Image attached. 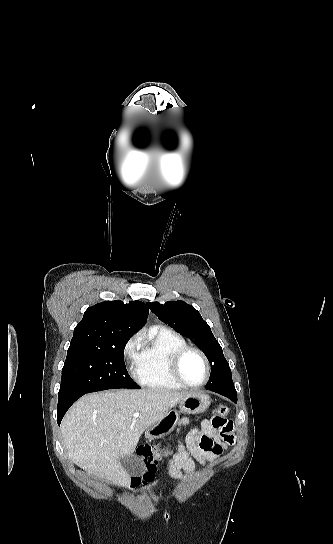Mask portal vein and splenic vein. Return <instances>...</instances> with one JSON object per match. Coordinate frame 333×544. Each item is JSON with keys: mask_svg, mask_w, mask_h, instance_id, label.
Instances as JSON below:
<instances>
[{"mask_svg": "<svg viewBox=\"0 0 333 544\" xmlns=\"http://www.w3.org/2000/svg\"><path fill=\"white\" fill-rule=\"evenodd\" d=\"M139 416H140V414H139L138 412H136V413L133 414V417H134V418H138Z\"/></svg>", "mask_w": 333, "mask_h": 544, "instance_id": "portal-vein-and-splenic-vein-1", "label": "portal vein and splenic vein"}]
</instances>
